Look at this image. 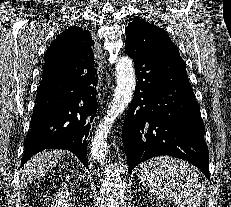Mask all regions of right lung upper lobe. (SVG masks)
<instances>
[{"label":"right lung upper lobe","instance_id":"1","mask_svg":"<svg viewBox=\"0 0 231 207\" xmlns=\"http://www.w3.org/2000/svg\"><path fill=\"white\" fill-rule=\"evenodd\" d=\"M93 44L89 31L69 27L51 43L44 55V68L57 67L65 71L85 68L79 64L93 57Z\"/></svg>","mask_w":231,"mask_h":207}]
</instances>
